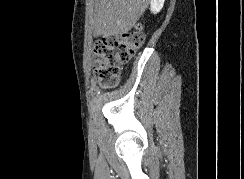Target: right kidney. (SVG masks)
<instances>
[{
  "instance_id": "obj_1",
  "label": "right kidney",
  "mask_w": 244,
  "mask_h": 179,
  "mask_svg": "<svg viewBox=\"0 0 244 179\" xmlns=\"http://www.w3.org/2000/svg\"><path fill=\"white\" fill-rule=\"evenodd\" d=\"M165 0H151L150 4V10L153 12V14H158L160 10H162L164 6Z\"/></svg>"
}]
</instances>
